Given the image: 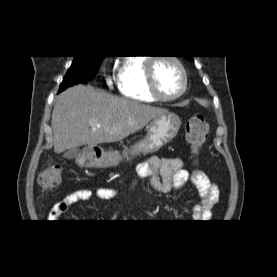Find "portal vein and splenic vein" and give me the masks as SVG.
Listing matches in <instances>:
<instances>
[{
	"instance_id": "18ae733b",
	"label": "portal vein and splenic vein",
	"mask_w": 277,
	"mask_h": 277,
	"mask_svg": "<svg viewBox=\"0 0 277 277\" xmlns=\"http://www.w3.org/2000/svg\"><path fill=\"white\" fill-rule=\"evenodd\" d=\"M91 124H94V122H91ZM99 127V125H97ZM92 129H95V127H92Z\"/></svg>"
}]
</instances>
